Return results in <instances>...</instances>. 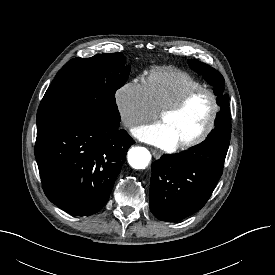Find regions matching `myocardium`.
<instances>
[{"label":"myocardium","mask_w":275,"mask_h":275,"mask_svg":"<svg viewBox=\"0 0 275 275\" xmlns=\"http://www.w3.org/2000/svg\"><path fill=\"white\" fill-rule=\"evenodd\" d=\"M200 93L208 94L212 101V111H211L210 117L208 119V122H207L206 126L204 127V129L197 136H195L194 138H192L190 140L178 143L176 145L177 149L184 150V149H189L194 146H197L200 143H202L209 136V134L212 132V130L215 126L218 114H219V110H220L219 99H218L217 94L212 89H209L206 87L194 88V89L187 91L180 98H178L175 102L164 107L163 109H161L158 112L159 119L163 118L166 115L174 114V113L180 111L194 96H196Z\"/></svg>","instance_id":"obj_1"}]
</instances>
